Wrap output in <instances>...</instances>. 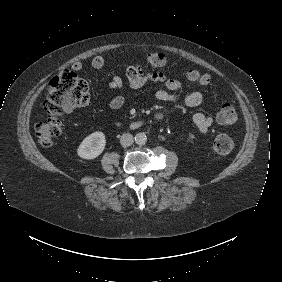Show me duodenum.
<instances>
[{"label":"duodenum","mask_w":282,"mask_h":282,"mask_svg":"<svg viewBox=\"0 0 282 282\" xmlns=\"http://www.w3.org/2000/svg\"><path fill=\"white\" fill-rule=\"evenodd\" d=\"M158 117H161V116L159 115ZM120 125H121L120 122H117V121L114 122V126L118 127ZM140 125H141V122H135V123L130 124V126H132V127H139Z\"/></svg>","instance_id":"1"}]
</instances>
